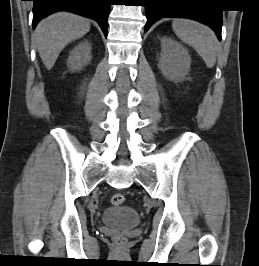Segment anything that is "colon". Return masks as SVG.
<instances>
[{
    "instance_id": "obj_1",
    "label": "colon",
    "mask_w": 259,
    "mask_h": 266,
    "mask_svg": "<svg viewBox=\"0 0 259 266\" xmlns=\"http://www.w3.org/2000/svg\"><path fill=\"white\" fill-rule=\"evenodd\" d=\"M125 197L121 193H116L111 197V204L113 206H120L124 203ZM114 243L118 249L124 248L126 244V239L123 236H116L114 238Z\"/></svg>"
}]
</instances>
